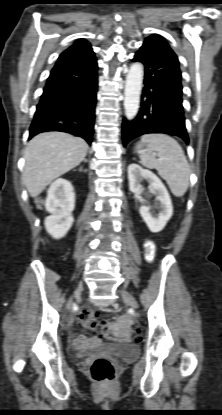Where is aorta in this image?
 <instances>
[{"label":"aorta","mask_w":222,"mask_h":415,"mask_svg":"<svg viewBox=\"0 0 222 415\" xmlns=\"http://www.w3.org/2000/svg\"><path fill=\"white\" fill-rule=\"evenodd\" d=\"M143 75L144 68L141 63H133L130 66L124 90V109L128 120H132L138 113Z\"/></svg>","instance_id":"1"}]
</instances>
